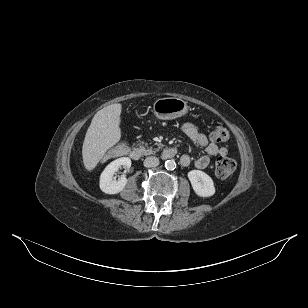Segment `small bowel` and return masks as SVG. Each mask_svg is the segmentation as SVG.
<instances>
[{
	"mask_svg": "<svg viewBox=\"0 0 308 308\" xmlns=\"http://www.w3.org/2000/svg\"><path fill=\"white\" fill-rule=\"evenodd\" d=\"M182 132L192 140L197 146L202 148L206 155L199 156L195 160V166L199 169H204L210 164L211 156H226L228 150L226 147H220L214 142L209 141L206 135L191 122H185L181 126ZM192 159L188 154H183L180 158V163L183 166H188Z\"/></svg>",
	"mask_w": 308,
	"mask_h": 308,
	"instance_id": "1",
	"label": "small bowel"
}]
</instances>
